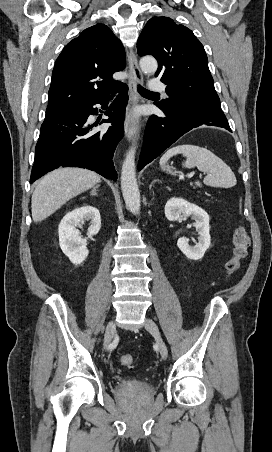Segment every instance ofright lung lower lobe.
Masks as SVG:
<instances>
[{"instance_id":"obj_1","label":"right lung lower lobe","mask_w":272,"mask_h":452,"mask_svg":"<svg viewBox=\"0 0 272 452\" xmlns=\"http://www.w3.org/2000/svg\"><path fill=\"white\" fill-rule=\"evenodd\" d=\"M119 95L105 112L112 126L105 132L95 130L88 123L90 114L96 115L95 104L106 105L111 95L89 101L65 113L46 114L35 148V161L30 183L58 167H81L95 171L107 179L117 180L113 155L124 135L127 85L117 89Z\"/></svg>"}]
</instances>
